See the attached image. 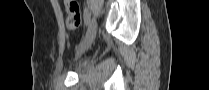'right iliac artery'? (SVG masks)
Wrapping results in <instances>:
<instances>
[{
  "label": "right iliac artery",
  "mask_w": 209,
  "mask_h": 90,
  "mask_svg": "<svg viewBox=\"0 0 209 90\" xmlns=\"http://www.w3.org/2000/svg\"><path fill=\"white\" fill-rule=\"evenodd\" d=\"M90 11L88 9L85 8L84 10V23L86 26H88V24L90 23Z\"/></svg>",
  "instance_id": "obj_1"
}]
</instances>
